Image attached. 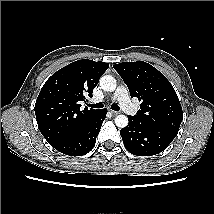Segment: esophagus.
I'll use <instances>...</instances> for the list:
<instances>
[{
  "mask_svg": "<svg viewBox=\"0 0 214 214\" xmlns=\"http://www.w3.org/2000/svg\"><path fill=\"white\" fill-rule=\"evenodd\" d=\"M111 112H112L113 115H118L120 113L118 111H113V110Z\"/></svg>",
  "mask_w": 214,
  "mask_h": 214,
  "instance_id": "esophagus-1",
  "label": "esophagus"
}]
</instances>
